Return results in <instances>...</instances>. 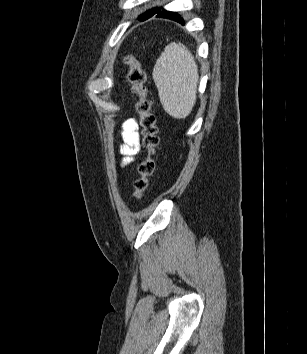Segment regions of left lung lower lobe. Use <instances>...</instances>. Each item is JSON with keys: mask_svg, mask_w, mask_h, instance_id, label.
I'll use <instances>...</instances> for the list:
<instances>
[{"mask_svg": "<svg viewBox=\"0 0 307 354\" xmlns=\"http://www.w3.org/2000/svg\"><path fill=\"white\" fill-rule=\"evenodd\" d=\"M150 17H148V18H150ZM156 17L167 18V19H171V20H174L176 22H179L181 24H184V21L182 20V18L177 13L166 11L164 9L160 10L159 12H157V16ZM148 18H146V19H148ZM146 19H144V20H146ZM144 20H142V21H144Z\"/></svg>", "mask_w": 307, "mask_h": 354, "instance_id": "left-lung-lower-lobe-1", "label": "left lung lower lobe"}]
</instances>
